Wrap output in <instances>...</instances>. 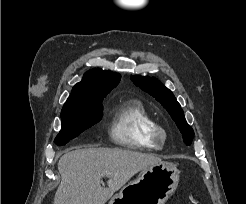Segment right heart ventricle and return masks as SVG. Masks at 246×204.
Here are the masks:
<instances>
[{"label": "right heart ventricle", "instance_id": "right-heart-ventricle-1", "mask_svg": "<svg viewBox=\"0 0 246 204\" xmlns=\"http://www.w3.org/2000/svg\"><path fill=\"white\" fill-rule=\"evenodd\" d=\"M157 125L141 102L129 100L113 109L108 133L117 146L132 150H156L160 145L152 139V132Z\"/></svg>", "mask_w": 246, "mask_h": 204}]
</instances>
